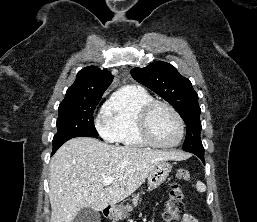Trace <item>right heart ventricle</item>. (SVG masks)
I'll return each mask as SVG.
<instances>
[{
  "label": "right heart ventricle",
  "instance_id": "e07e8e85",
  "mask_svg": "<svg viewBox=\"0 0 257 222\" xmlns=\"http://www.w3.org/2000/svg\"><path fill=\"white\" fill-rule=\"evenodd\" d=\"M153 97L143 88L128 86L117 91L105 107L110 140L128 148H146L140 136L138 117Z\"/></svg>",
  "mask_w": 257,
  "mask_h": 222
}]
</instances>
